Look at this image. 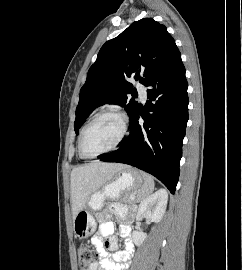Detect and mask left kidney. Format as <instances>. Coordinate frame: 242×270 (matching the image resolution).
<instances>
[{
  "mask_svg": "<svg viewBox=\"0 0 242 270\" xmlns=\"http://www.w3.org/2000/svg\"><path fill=\"white\" fill-rule=\"evenodd\" d=\"M167 201V191L159 189L141 201L137 212V219L145 217L151 222H160L165 213ZM132 237L135 245L140 246L147 236L143 231H133Z\"/></svg>",
  "mask_w": 242,
  "mask_h": 270,
  "instance_id": "1",
  "label": "left kidney"
}]
</instances>
